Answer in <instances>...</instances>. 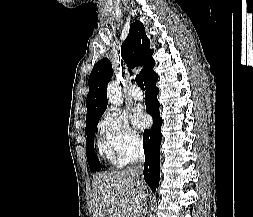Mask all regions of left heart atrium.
Wrapping results in <instances>:
<instances>
[{"instance_id":"39dd6f15","label":"left heart atrium","mask_w":253,"mask_h":217,"mask_svg":"<svg viewBox=\"0 0 253 217\" xmlns=\"http://www.w3.org/2000/svg\"><path fill=\"white\" fill-rule=\"evenodd\" d=\"M133 122L136 127L143 129L148 126L149 119L148 116L141 109H138L133 115Z\"/></svg>"}]
</instances>
